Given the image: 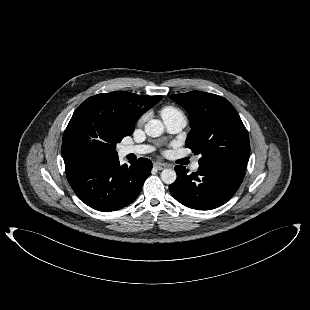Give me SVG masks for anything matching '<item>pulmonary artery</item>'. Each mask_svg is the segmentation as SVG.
<instances>
[{"label":"pulmonary artery","instance_id":"obj_1","mask_svg":"<svg viewBox=\"0 0 310 310\" xmlns=\"http://www.w3.org/2000/svg\"><path fill=\"white\" fill-rule=\"evenodd\" d=\"M164 124L170 133L180 132L186 126V119L184 116H172L163 118ZM152 151L149 145H126L119 150L121 156L129 154L142 155ZM191 169L197 171L199 169V162L195 161L191 164Z\"/></svg>","mask_w":310,"mask_h":310}]
</instances>
